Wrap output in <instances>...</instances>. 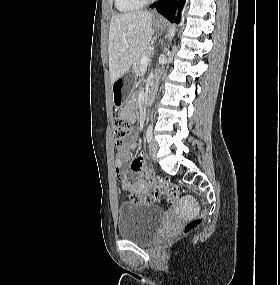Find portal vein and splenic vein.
Segmentation results:
<instances>
[{
    "label": "portal vein and splenic vein",
    "mask_w": 280,
    "mask_h": 285,
    "mask_svg": "<svg viewBox=\"0 0 280 285\" xmlns=\"http://www.w3.org/2000/svg\"><path fill=\"white\" fill-rule=\"evenodd\" d=\"M151 57H152L151 55L143 56V57L141 58V64H142L143 66H147L148 63L150 62Z\"/></svg>",
    "instance_id": "portal-vein-and-splenic-vein-1"
}]
</instances>
